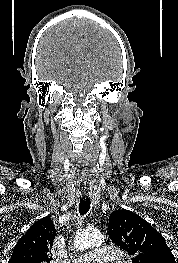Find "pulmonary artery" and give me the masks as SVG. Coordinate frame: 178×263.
Here are the masks:
<instances>
[{
	"instance_id": "1",
	"label": "pulmonary artery",
	"mask_w": 178,
	"mask_h": 263,
	"mask_svg": "<svg viewBox=\"0 0 178 263\" xmlns=\"http://www.w3.org/2000/svg\"><path fill=\"white\" fill-rule=\"evenodd\" d=\"M121 251L112 247H97L72 260V263H112L118 262Z\"/></svg>"
}]
</instances>
